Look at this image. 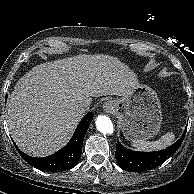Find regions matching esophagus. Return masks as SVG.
Segmentation results:
<instances>
[{"instance_id": "1", "label": "esophagus", "mask_w": 194, "mask_h": 194, "mask_svg": "<svg viewBox=\"0 0 194 194\" xmlns=\"http://www.w3.org/2000/svg\"><path fill=\"white\" fill-rule=\"evenodd\" d=\"M104 110L106 112H111L113 110V105L110 102L104 104Z\"/></svg>"}]
</instances>
